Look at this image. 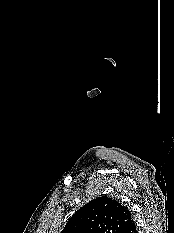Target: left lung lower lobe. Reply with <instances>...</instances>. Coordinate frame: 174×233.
<instances>
[{"label": "left lung lower lobe", "mask_w": 174, "mask_h": 233, "mask_svg": "<svg viewBox=\"0 0 174 233\" xmlns=\"http://www.w3.org/2000/svg\"><path fill=\"white\" fill-rule=\"evenodd\" d=\"M122 233H137L136 223L133 221L128 227H126Z\"/></svg>", "instance_id": "obj_1"}]
</instances>
